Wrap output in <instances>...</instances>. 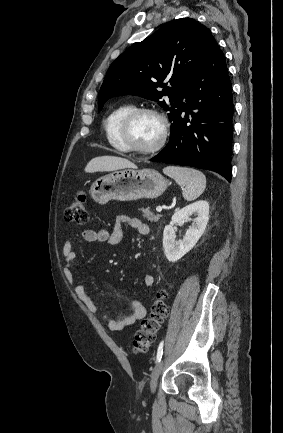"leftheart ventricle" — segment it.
Wrapping results in <instances>:
<instances>
[{
    "label": "left heart ventricle",
    "mask_w": 283,
    "mask_h": 433,
    "mask_svg": "<svg viewBox=\"0 0 283 433\" xmlns=\"http://www.w3.org/2000/svg\"><path fill=\"white\" fill-rule=\"evenodd\" d=\"M161 134V120L153 114H143L135 119L129 137L137 147L152 149L159 142Z\"/></svg>",
    "instance_id": "left-heart-ventricle-1"
}]
</instances>
